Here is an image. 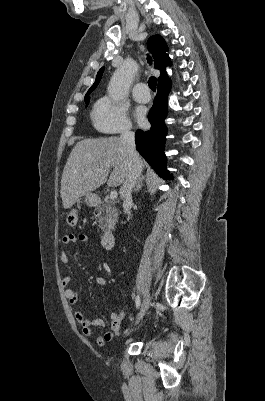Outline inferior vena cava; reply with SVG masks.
Listing matches in <instances>:
<instances>
[{
  "instance_id": "1",
  "label": "inferior vena cava",
  "mask_w": 265,
  "mask_h": 401,
  "mask_svg": "<svg viewBox=\"0 0 265 401\" xmlns=\"http://www.w3.org/2000/svg\"><path fill=\"white\" fill-rule=\"evenodd\" d=\"M131 124H125L121 130L120 138L125 142V148L129 154L130 160V174L127 182L123 184V196H124V213L130 215L132 207V188L138 182V178L141 174L140 156L135 148V134L131 130Z\"/></svg>"
}]
</instances>
